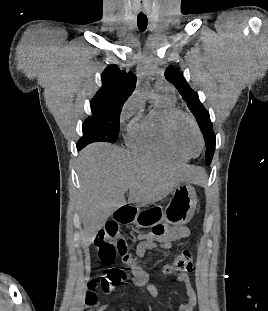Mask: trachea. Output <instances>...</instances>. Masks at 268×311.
I'll return each instance as SVG.
<instances>
[{"mask_svg":"<svg viewBox=\"0 0 268 311\" xmlns=\"http://www.w3.org/2000/svg\"><path fill=\"white\" fill-rule=\"evenodd\" d=\"M147 16L146 15H138L137 17V24L138 28L141 32H144L147 28Z\"/></svg>","mask_w":268,"mask_h":311,"instance_id":"1","label":"trachea"}]
</instances>
